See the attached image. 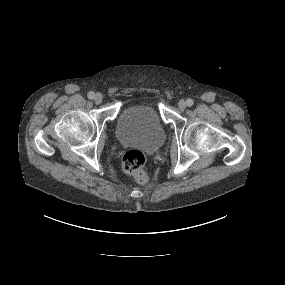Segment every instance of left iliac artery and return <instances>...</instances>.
<instances>
[{
	"mask_svg": "<svg viewBox=\"0 0 285 285\" xmlns=\"http://www.w3.org/2000/svg\"><path fill=\"white\" fill-rule=\"evenodd\" d=\"M186 104L187 106L191 107L194 104V102L192 99H187Z\"/></svg>",
	"mask_w": 285,
	"mask_h": 285,
	"instance_id": "left-iliac-artery-1",
	"label": "left iliac artery"
}]
</instances>
